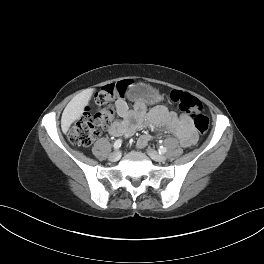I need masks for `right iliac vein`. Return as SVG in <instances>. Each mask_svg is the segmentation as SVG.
I'll list each match as a JSON object with an SVG mask.
<instances>
[{"instance_id":"1","label":"right iliac vein","mask_w":264,"mask_h":264,"mask_svg":"<svg viewBox=\"0 0 264 264\" xmlns=\"http://www.w3.org/2000/svg\"><path fill=\"white\" fill-rule=\"evenodd\" d=\"M121 157V152L120 151H114L109 155V159L111 161H118Z\"/></svg>"}]
</instances>
